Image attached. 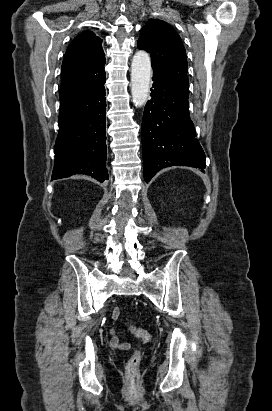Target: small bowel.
<instances>
[{
    "instance_id": "small-bowel-1",
    "label": "small bowel",
    "mask_w": 272,
    "mask_h": 411,
    "mask_svg": "<svg viewBox=\"0 0 272 411\" xmlns=\"http://www.w3.org/2000/svg\"><path fill=\"white\" fill-rule=\"evenodd\" d=\"M120 315V310L118 307H115L112 311V320L115 322ZM110 345L113 348L117 349H129V344L120 341L119 337L116 335L115 330L111 329V339H110Z\"/></svg>"
}]
</instances>
